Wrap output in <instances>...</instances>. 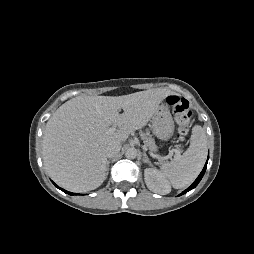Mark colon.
Segmentation results:
<instances>
[{
    "label": "colon",
    "mask_w": 254,
    "mask_h": 254,
    "mask_svg": "<svg viewBox=\"0 0 254 254\" xmlns=\"http://www.w3.org/2000/svg\"><path fill=\"white\" fill-rule=\"evenodd\" d=\"M167 103L175 115L177 132L179 139H183L190 128L193 113L186 99L171 95L167 98Z\"/></svg>",
    "instance_id": "1"
}]
</instances>
